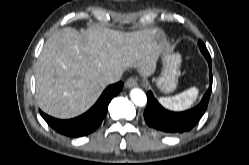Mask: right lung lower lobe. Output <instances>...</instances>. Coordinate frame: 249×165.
<instances>
[{"label":"right lung lower lobe","mask_w":249,"mask_h":165,"mask_svg":"<svg viewBox=\"0 0 249 165\" xmlns=\"http://www.w3.org/2000/svg\"><path fill=\"white\" fill-rule=\"evenodd\" d=\"M123 88V83L108 86L98 101L83 115L69 119L60 120L48 116L40 111V114L56 132L69 137L85 136L95 131L106 116L108 105L111 99L116 96Z\"/></svg>","instance_id":"98d812e1"}]
</instances>
